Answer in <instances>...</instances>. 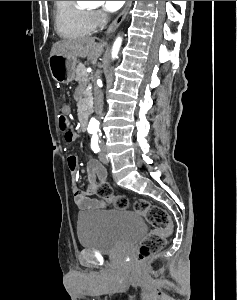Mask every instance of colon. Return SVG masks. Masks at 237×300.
I'll return each instance as SVG.
<instances>
[{"label":"colon","instance_id":"obj_1","mask_svg":"<svg viewBox=\"0 0 237 300\" xmlns=\"http://www.w3.org/2000/svg\"><path fill=\"white\" fill-rule=\"evenodd\" d=\"M59 128L67 143L76 140L70 120L64 114L59 116ZM97 195L108 200L119 210L127 209L129 200L124 195H114L111 186L102 182L97 188ZM134 211L146 218L152 230L141 240L137 248V260L143 263L158 254L166 243V237L171 232L172 222L169 214L161 207L151 204L145 199H137L133 204Z\"/></svg>","mask_w":237,"mask_h":300}]
</instances>
